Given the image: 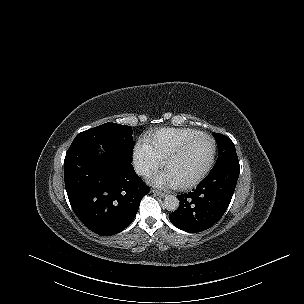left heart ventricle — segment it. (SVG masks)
Returning <instances> with one entry per match:
<instances>
[{
	"instance_id": "left-heart-ventricle-1",
	"label": "left heart ventricle",
	"mask_w": 304,
	"mask_h": 304,
	"mask_svg": "<svg viewBox=\"0 0 304 304\" xmlns=\"http://www.w3.org/2000/svg\"><path fill=\"white\" fill-rule=\"evenodd\" d=\"M212 153V142L203 138L189 146L168 166L167 173L176 183L194 179L205 167Z\"/></svg>"
}]
</instances>
